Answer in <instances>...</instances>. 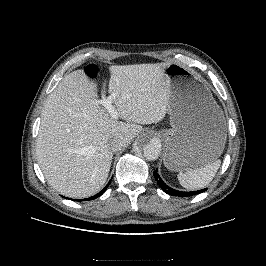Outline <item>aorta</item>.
Instances as JSON below:
<instances>
[{"label": "aorta", "instance_id": "762f6f07", "mask_svg": "<svg viewBox=\"0 0 266 266\" xmlns=\"http://www.w3.org/2000/svg\"><path fill=\"white\" fill-rule=\"evenodd\" d=\"M161 141L150 135L140 137L134 147L135 151L142 152L147 160H156L161 152Z\"/></svg>", "mask_w": 266, "mask_h": 266}]
</instances>
